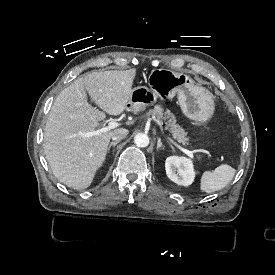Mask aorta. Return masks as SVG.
<instances>
[{
    "mask_svg": "<svg viewBox=\"0 0 275 275\" xmlns=\"http://www.w3.org/2000/svg\"><path fill=\"white\" fill-rule=\"evenodd\" d=\"M134 143L137 147H147L149 145V137L145 133H137L134 137Z\"/></svg>",
    "mask_w": 275,
    "mask_h": 275,
    "instance_id": "1",
    "label": "aorta"
}]
</instances>
